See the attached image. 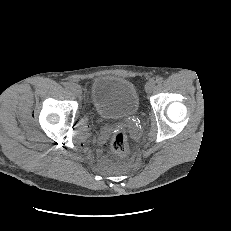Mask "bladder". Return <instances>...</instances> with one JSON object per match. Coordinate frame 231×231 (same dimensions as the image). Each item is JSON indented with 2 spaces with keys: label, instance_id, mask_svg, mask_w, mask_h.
I'll return each mask as SVG.
<instances>
[{
  "label": "bladder",
  "instance_id": "bladder-1",
  "mask_svg": "<svg viewBox=\"0 0 231 231\" xmlns=\"http://www.w3.org/2000/svg\"><path fill=\"white\" fill-rule=\"evenodd\" d=\"M91 101L97 114L104 119L129 117L139 109V97L133 83L112 75L93 80Z\"/></svg>",
  "mask_w": 231,
  "mask_h": 231
}]
</instances>
